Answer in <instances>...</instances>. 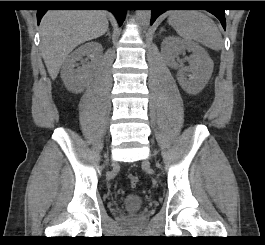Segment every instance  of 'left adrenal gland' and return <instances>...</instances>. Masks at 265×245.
Here are the masks:
<instances>
[{"label":"left adrenal gland","instance_id":"a2214340","mask_svg":"<svg viewBox=\"0 0 265 245\" xmlns=\"http://www.w3.org/2000/svg\"><path fill=\"white\" fill-rule=\"evenodd\" d=\"M164 31V28H161V30H160V34H161V32H163Z\"/></svg>","mask_w":265,"mask_h":245}]
</instances>
